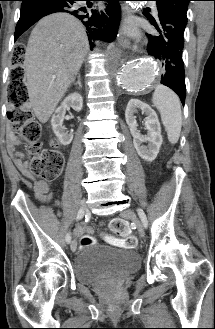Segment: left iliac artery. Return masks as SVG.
<instances>
[{"mask_svg":"<svg viewBox=\"0 0 215 329\" xmlns=\"http://www.w3.org/2000/svg\"><path fill=\"white\" fill-rule=\"evenodd\" d=\"M137 211H138V215H139L144 227L147 228L148 220H147V217H146L144 211L142 209H138Z\"/></svg>","mask_w":215,"mask_h":329,"instance_id":"44dca946","label":"left iliac artery"}]
</instances>
